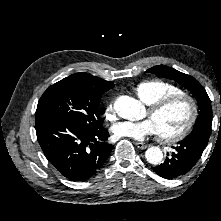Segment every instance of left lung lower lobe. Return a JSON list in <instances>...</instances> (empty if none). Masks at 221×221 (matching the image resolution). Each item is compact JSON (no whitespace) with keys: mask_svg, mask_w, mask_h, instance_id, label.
Returning a JSON list of instances; mask_svg holds the SVG:
<instances>
[{"mask_svg":"<svg viewBox=\"0 0 221 221\" xmlns=\"http://www.w3.org/2000/svg\"><path fill=\"white\" fill-rule=\"evenodd\" d=\"M210 131L192 133L182 140L175 152L163 164L152 167L153 171L165 179H173L187 174L200 159L208 143ZM174 148V147H173Z\"/></svg>","mask_w":221,"mask_h":221,"instance_id":"0a47b994","label":"left lung lower lobe"}]
</instances>
